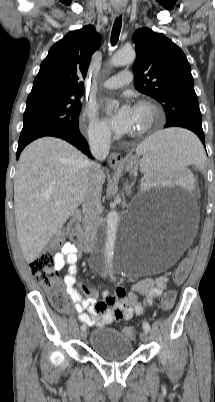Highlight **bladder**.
Returning a JSON list of instances; mask_svg holds the SVG:
<instances>
[{
  "label": "bladder",
  "instance_id": "obj_1",
  "mask_svg": "<svg viewBox=\"0 0 215 402\" xmlns=\"http://www.w3.org/2000/svg\"><path fill=\"white\" fill-rule=\"evenodd\" d=\"M90 350L105 361H121L134 351L132 341L118 330L109 327L94 329L89 337Z\"/></svg>",
  "mask_w": 215,
  "mask_h": 402
}]
</instances>
